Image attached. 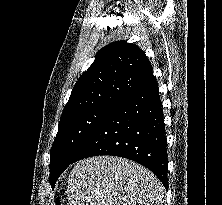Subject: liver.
Masks as SVG:
<instances>
[{"instance_id":"6515ba94","label":"liver","mask_w":222,"mask_h":205,"mask_svg":"<svg viewBox=\"0 0 222 205\" xmlns=\"http://www.w3.org/2000/svg\"><path fill=\"white\" fill-rule=\"evenodd\" d=\"M69 205H163L166 190L148 169L115 156L79 161L68 178Z\"/></svg>"}]
</instances>
